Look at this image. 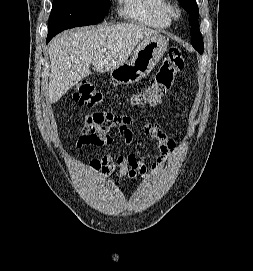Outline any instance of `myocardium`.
<instances>
[{
  "mask_svg": "<svg viewBox=\"0 0 253 271\" xmlns=\"http://www.w3.org/2000/svg\"><path fill=\"white\" fill-rule=\"evenodd\" d=\"M168 12L173 18H178L181 15V9L176 3H169Z\"/></svg>",
  "mask_w": 253,
  "mask_h": 271,
  "instance_id": "obj_1",
  "label": "myocardium"
}]
</instances>
